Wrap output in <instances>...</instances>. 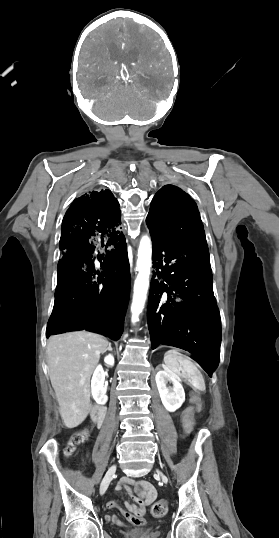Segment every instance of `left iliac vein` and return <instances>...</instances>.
<instances>
[{
  "label": "left iliac vein",
  "instance_id": "left-iliac-vein-1",
  "mask_svg": "<svg viewBox=\"0 0 279 538\" xmlns=\"http://www.w3.org/2000/svg\"><path fill=\"white\" fill-rule=\"evenodd\" d=\"M156 473H157L159 476H161V478H162V480H163L164 483H167V482H168L167 477H166L161 471L157 470Z\"/></svg>",
  "mask_w": 279,
  "mask_h": 538
}]
</instances>
